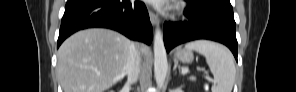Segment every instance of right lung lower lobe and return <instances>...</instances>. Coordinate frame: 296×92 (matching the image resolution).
<instances>
[{"label": "right lung lower lobe", "mask_w": 296, "mask_h": 92, "mask_svg": "<svg viewBox=\"0 0 296 92\" xmlns=\"http://www.w3.org/2000/svg\"><path fill=\"white\" fill-rule=\"evenodd\" d=\"M103 27L116 30L130 39L150 44L152 26L142 2L133 0H68L65 6L57 47L74 32Z\"/></svg>", "instance_id": "obj_1"}]
</instances>
